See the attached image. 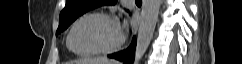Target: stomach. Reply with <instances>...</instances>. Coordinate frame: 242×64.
I'll return each instance as SVG.
<instances>
[{
  "instance_id": "obj_1",
  "label": "stomach",
  "mask_w": 242,
  "mask_h": 64,
  "mask_svg": "<svg viewBox=\"0 0 242 64\" xmlns=\"http://www.w3.org/2000/svg\"><path fill=\"white\" fill-rule=\"evenodd\" d=\"M80 64H89V63H84V62H82V63H80Z\"/></svg>"
}]
</instances>
